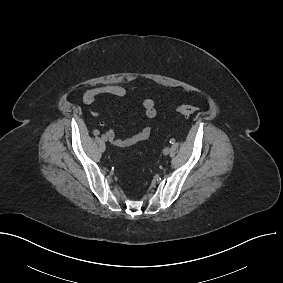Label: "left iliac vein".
<instances>
[{"label":"left iliac vein","instance_id":"obj_1","mask_svg":"<svg viewBox=\"0 0 283 283\" xmlns=\"http://www.w3.org/2000/svg\"><path fill=\"white\" fill-rule=\"evenodd\" d=\"M170 152V148L169 147H165L164 150H163V154L164 155H168Z\"/></svg>","mask_w":283,"mask_h":283}]
</instances>
